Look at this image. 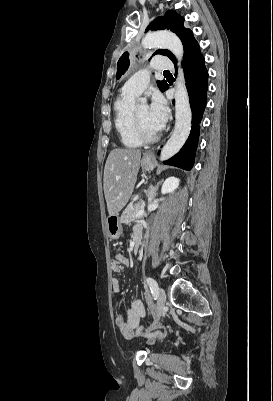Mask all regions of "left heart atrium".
I'll return each instance as SVG.
<instances>
[{"mask_svg":"<svg viewBox=\"0 0 273 401\" xmlns=\"http://www.w3.org/2000/svg\"><path fill=\"white\" fill-rule=\"evenodd\" d=\"M147 109L150 124L156 131L161 130L168 117V109L163 98L154 96Z\"/></svg>","mask_w":273,"mask_h":401,"instance_id":"39dd6f15","label":"left heart atrium"}]
</instances>
